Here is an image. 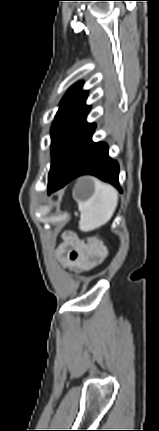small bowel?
<instances>
[{"instance_id": "c3829d8e", "label": "small bowel", "mask_w": 159, "mask_h": 431, "mask_svg": "<svg viewBox=\"0 0 159 431\" xmlns=\"http://www.w3.org/2000/svg\"><path fill=\"white\" fill-rule=\"evenodd\" d=\"M63 265L75 272H85L99 265L107 256L104 236L81 239L72 232L63 235L59 248Z\"/></svg>"}]
</instances>
